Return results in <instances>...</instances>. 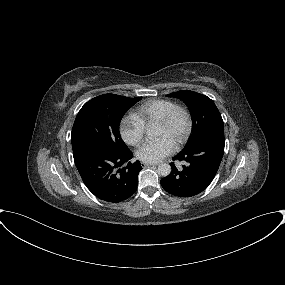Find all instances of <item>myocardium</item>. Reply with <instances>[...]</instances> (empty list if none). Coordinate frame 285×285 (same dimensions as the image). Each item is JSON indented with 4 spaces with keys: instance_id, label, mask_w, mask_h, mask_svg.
Returning <instances> with one entry per match:
<instances>
[{
    "instance_id": "1",
    "label": "myocardium",
    "mask_w": 285,
    "mask_h": 285,
    "mask_svg": "<svg viewBox=\"0 0 285 285\" xmlns=\"http://www.w3.org/2000/svg\"><path fill=\"white\" fill-rule=\"evenodd\" d=\"M181 117L183 119V130L182 134L179 137V139L176 142V146H181L183 145L191 132V127H192V121L189 112L181 106H175L173 109H171L164 117H162L159 121L158 124L162 126H170L176 117Z\"/></svg>"
}]
</instances>
